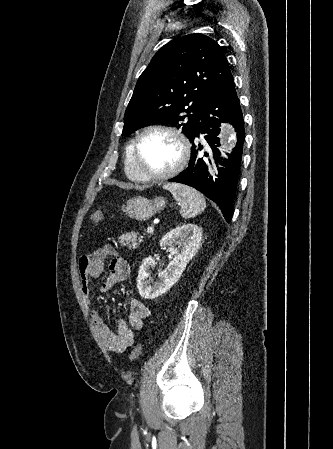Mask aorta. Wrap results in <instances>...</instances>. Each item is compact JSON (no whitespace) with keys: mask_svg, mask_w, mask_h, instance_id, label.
I'll list each match as a JSON object with an SVG mask.
<instances>
[{"mask_svg":"<svg viewBox=\"0 0 333 449\" xmlns=\"http://www.w3.org/2000/svg\"><path fill=\"white\" fill-rule=\"evenodd\" d=\"M222 142H223L225 149L230 148L234 145V143H235L234 132L231 128H228L224 132L223 137H222Z\"/></svg>","mask_w":333,"mask_h":449,"instance_id":"762f6f07","label":"aorta"}]
</instances>
